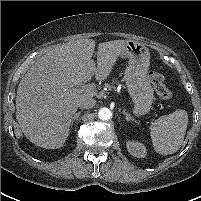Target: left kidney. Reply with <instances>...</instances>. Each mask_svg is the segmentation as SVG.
Returning <instances> with one entry per match:
<instances>
[{
  "label": "left kidney",
  "mask_w": 201,
  "mask_h": 201,
  "mask_svg": "<svg viewBox=\"0 0 201 201\" xmlns=\"http://www.w3.org/2000/svg\"><path fill=\"white\" fill-rule=\"evenodd\" d=\"M128 152L137 157V158H144L146 156V148L142 143L135 142V141H128L126 143Z\"/></svg>",
  "instance_id": "5707ae66"
}]
</instances>
